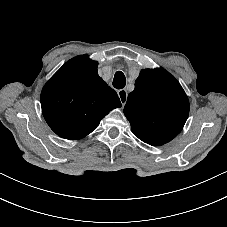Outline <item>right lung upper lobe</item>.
Returning a JSON list of instances; mask_svg holds the SVG:
<instances>
[{"label": "right lung upper lobe", "mask_w": 227, "mask_h": 227, "mask_svg": "<svg viewBox=\"0 0 227 227\" xmlns=\"http://www.w3.org/2000/svg\"><path fill=\"white\" fill-rule=\"evenodd\" d=\"M88 55L66 62L41 92L43 116L60 137L76 140L90 134L112 109L122 104Z\"/></svg>", "instance_id": "obj_1"}]
</instances>
